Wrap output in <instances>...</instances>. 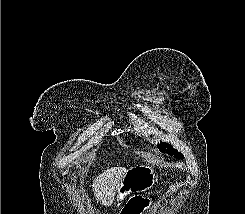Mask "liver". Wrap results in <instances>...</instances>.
I'll return each mask as SVG.
<instances>
[{
  "label": "liver",
  "mask_w": 245,
  "mask_h": 214,
  "mask_svg": "<svg viewBox=\"0 0 245 214\" xmlns=\"http://www.w3.org/2000/svg\"><path fill=\"white\" fill-rule=\"evenodd\" d=\"M126 172L124 167H112L94 179L92 187L97 202L106 207L111 206Z\"/></svg>",
  "instance_id": "6515ba94"
}]
</instances>
